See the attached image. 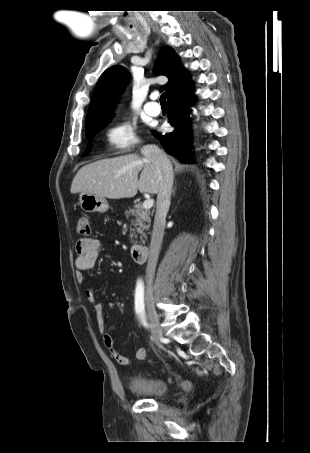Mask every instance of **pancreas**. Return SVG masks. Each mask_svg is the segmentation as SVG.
<instances>
[{
    "label": "pancreas",
    "instance_id": "1",
    "mask_svg": "<svg viewBox=\"0 0 310 453\" xmlns=\"http://www.w3.org/2000/svg\"><path fill=\"white\" fill-rule=\"evenodd\" d=\"M126 219L131 216V228L130 238L133 242V238H137V233L140 234V239L146 238L145 231L150 228V212L145 210L141 204H135L133 208H129L125 211Z\"/></svg>",
    "mask_w": 310,
    "mask_h": 453
}]
</instances>
